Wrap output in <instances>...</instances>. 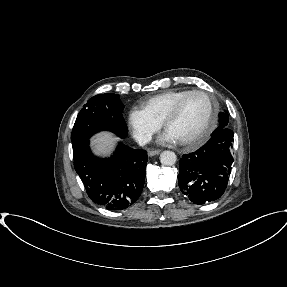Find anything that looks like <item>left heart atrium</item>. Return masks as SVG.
Instances as JSON below:
<instances>
[{
  "mask_svg": "<svg viewBox=\"0 0 287 287\" xmlns=\"http://www.w3.org/2000/svg\"><path fill=\"white\" fill-rule=\"evenodd\" d=\"M160 141L163 143H175L176 142V140L166 131L161 136Z\"/></svg>",
  "mask_w": 287,
  "mask_h": 287,
  "instance_id": "left-heart-atrium-1",
  "label": "left heart atrium"
}]
</instances>
